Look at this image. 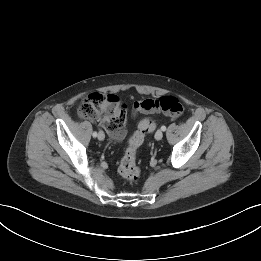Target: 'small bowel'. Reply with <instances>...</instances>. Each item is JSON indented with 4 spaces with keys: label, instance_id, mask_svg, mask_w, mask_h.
Here are the masks:
<instances>
[{
    "label": "small bowel",
    "instance_id": "obj_1",
    "mask_svg": "<svg viewBox=\"0 0 261 261\" xmlns=\"http://www.w3.org/2000/svg\"><path fill=\"white\" fill-rule=\"evenodd\" d=\"M149 99H145L139 102H136L133 106L132 110V116L135 117L139 113H152L153 111L147 110L146 108L143 107V103Z\"/></svg>",
    "mask_w": 261,
    "mask_h": 261
}]
</instances>
